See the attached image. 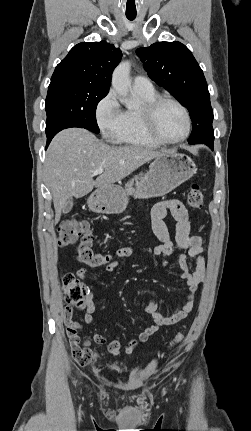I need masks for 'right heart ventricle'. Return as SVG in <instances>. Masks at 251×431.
<instances>
[{"instance_id":"e07e8e85","label":"right heart ventricle","mask_w":251,"mask_h":431,"mask_svg":"<svg viewBox=\"0 0 251 431\" xmlns=\"http://www.w3.org/2000/svg\"><path fill=\"white\" fill-rule=\"evenodd\" d=\"M136 93L145 103L157 96L155 90L150 92L136 91ZM115 140L118 143L136 147H157L159 145L147 134L142 122L141 109L124 111L123 125Z\"/></svg>"}]
</instances>
